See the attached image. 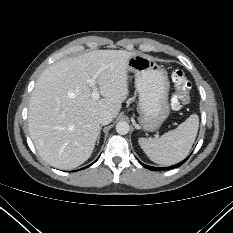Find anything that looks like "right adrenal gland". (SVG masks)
Returning a JSON list of instances; mask_svg holds the SVG:
<instances>
[{"label": "right adrenal gland", "instance_id": "1", "mask_svg": "<svg viewBox=\"0 0 233 233\" xmlns=\"http://www.w3.org/2000/svg\"><path fill=\"white\" fill-rule=\"evenodd\" d=\"M101 129H102V126L100 127V130H99V135H98V139H97V145L99 144V141H100Z\"/></svg>", "mask_w": 233, "mask_h": 233}]
</instances>
